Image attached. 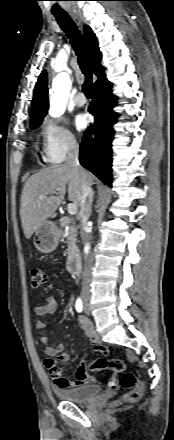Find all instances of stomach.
<instances>
[{
  "label": "stomach",
  "mask_w": 174,
  "mask_h": 440,
  "mask_svg": "<svg viewBox=\"0 0 174 440\" xmlns=\"http://www.w3.org/2000/svg\"><path fill=\"white\" fill-rule=\"evenodd\" d=\"M61 231L52 221H45L36 230L33 243L36 249L42 253H51L58 246Z\"/></svg>",
  "instance_id": "obj_1"
}]
</instances>
